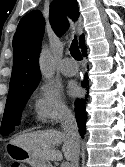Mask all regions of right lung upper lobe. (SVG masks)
I'll return each mask as SVG.
<instances>
[{
  "mask_svg": "<svg viewBox=\"0 0 125 167\" xmlns=\"http://www.w3.org/2000/svg\"><path fill=\"white\" fill-rule=\"evenodd\" d=\"M73 20H77L79 9L76 0H54L50 4V23L54 32L61 36L68 28L65 10ZM44 34V18L40 11L26 14L19 22L13 37V70L10 80L8 97L30 90L39 84V51ZM85 43L81 35L79 44Z\"/></svg>",
  "mask_w": 125,
  "mask_h": 167,
  "instance_id": "1",
  "label": "right lung upper lobe"
}]
</instances>
